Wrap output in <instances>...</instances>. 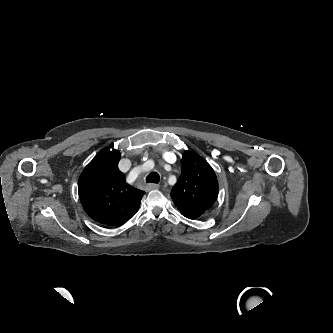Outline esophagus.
I'll list each match as a JSON object with an SVG mask.
<instances>
[{"label":"esophagus","instance_id":"34e87169","mask_svg":"<svg viewBox=\"0 0 333 333\" xmlns=\"http://www.w3.org/2000/svg\"><path fill=\"white\" fill-rule=\"evenodd\" d=\"M159 185L155 183H150L146 186L147 191L153 190V189H158Z\"/></svg>","mask_w":333,"mask_h":333}]
</instances>
